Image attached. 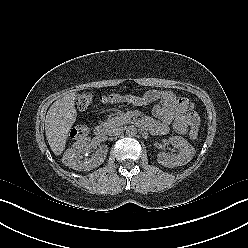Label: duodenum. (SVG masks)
<instances>
[{
	"instance_id": "1",
	"label": "duodenum",
	"mask_w": 248,
	"mask_h": 248,
	"mask_svg": "<svg viewBox=\"0 0 248 248\" xmlns=\"http://www.w3.org/2000/svg\"><path fill=\"white\" fill-rule=\"evenodd\" d=\"M107 134V127L105 124L101 123V124H98L95 128V135L99 138H105Z\"/></svg>"
}]
</instances>
